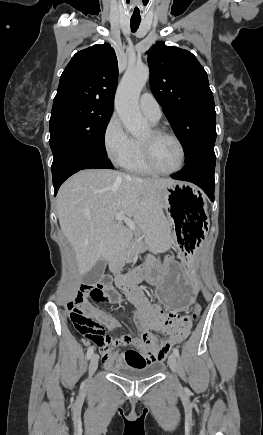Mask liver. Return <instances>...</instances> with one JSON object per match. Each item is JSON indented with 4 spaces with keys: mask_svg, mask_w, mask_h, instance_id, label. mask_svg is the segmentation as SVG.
I'll return each mask as SVG.
<instances>
[{
    "mask_svg": "<svg viewBox=\"0 0 263 435\" xmlns=\"http://www.w3.org/2000/svg\"><path fill=\"white\" fill-rule=\"evenodd\" d=\"M175 182L103 169L82 170L69 178L58 191L57 213L79 273L85 275L99 260L113 261L130 244L132 233L115 221L119 212L133 217L154 252L167 251L172 236L162 191Z\"/></svg>",
    "mask_w": 263,
    "mask_h": 435,
    "instance_id": "liver-1",
    "label": "liver"
}]
</instances>
